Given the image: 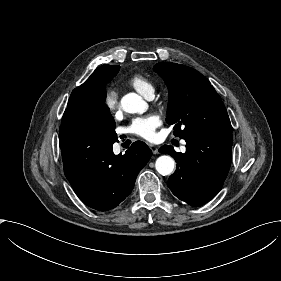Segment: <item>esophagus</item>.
Returning a JSON list of instances; mask_svg holds the SVG:
<instances>
[{"label": "esophagus", "mask_w": 281, "mask_h": 281, "mask_svg": "<svg viewBox=\"0 0 281 281\" xmlns=\"http://www.w3.org/2000/svg\"><path fill=\"white\" fill-rule=\"evenodd\" d=\"M148 146L150 147V149L152 150L153 154H157L158 153V147L153 145V144H148Z\"/></svg>", "instance_id": "obj_1"}]
</instances>
